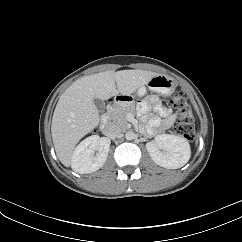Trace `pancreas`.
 Segmentation results:
<instances>
[{"label": "pancreas", "instance_id": "cf45deb5", "mask_svg": "<svg viewBox=\"0 0 242 242\" xmlns=\"http://www.w3.org/2000/svg\"><path fill=\"white\" fill-rule=\"evenodd\" d=\"M128 114H135V105L128 104L123 106H114L109 111L110 119L113 123L120 125L122 128L127 127V115Z\"/></svg>", "mask_w": 242, "mask_h": 242}]
</instances>
